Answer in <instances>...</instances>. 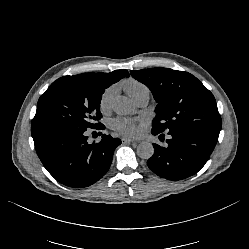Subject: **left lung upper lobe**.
Returning a JSON list of instances; mask_svg holds the SVG:
<instances>
[{"label": "left lung upper lobe", "instance_id": "left-lung-upper-lobe-1", "mask_svg": "<svg viewBox=\"0 0 249 249\" xmlns=\"http://www.w3.org/2000/svg\"><path fill=\"white\" fill-rule=\"evenodd\" d=\"M158 103L152 127L162 132L178 127L221 130V117L212 93L192 74L169 68L132 70Z\"/></svg>", "mask_w": 249, "mask_h": 249}]
</instances>
